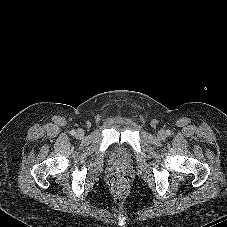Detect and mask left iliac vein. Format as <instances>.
Here are the masks:
<instances>
[{
	"mask_svg": "<svg viewBox=\"0 0 227 227\" xmlns=\"http://www.w3.org/2000/svg\"><path fill=\"white\" fill-rule=\"evenodd\" d=\"M158 138H159V139H164V138H166V132L163 131V130L159 131V132H158Z\"/></svg>",
	"mask_w": 227,
	"mask_h": 227,
	"instance_id": "obj_1",
	"label": "left iliac vein"
}]
</instances>
